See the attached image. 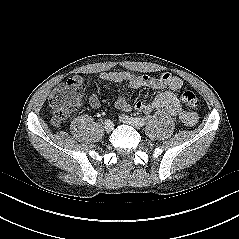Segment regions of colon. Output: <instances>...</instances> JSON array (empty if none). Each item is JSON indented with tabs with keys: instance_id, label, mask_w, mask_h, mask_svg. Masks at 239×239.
Listing matches in <instances>:
<instances>
[{
	"instance_id": "5ec220e1",
	"label": "colon",
	"mask_w": 239,
	"mask_h": 239,
	"mask_svg": "<svg viewBox=\"0 0 239 239\" xmlns=\"http://www.w3.org/2000/svg\"><path fill=\"white\" fill-rule=\"evenodd\" d=\"M83 91L84 84L76 79L64 81L53 90L48 104L54 125H61L78 107ZM181 100L189 108H197L199 105V99L192 90L183 91Z\"/></svg>"
}]
</instances>
